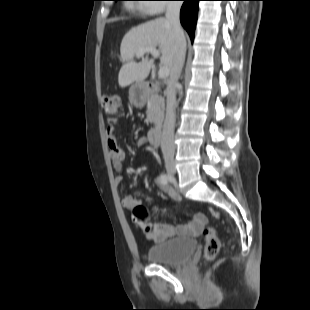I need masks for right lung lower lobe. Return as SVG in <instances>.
Listing matches in <instances>:
<instances>
[{
  "instance_id": "98d812e1",
  "label": "right lung lower lobe",
  "mask_w": 310,
  "mask_h": 310,
  "mask_svg": "<svg viewBox=\"0 0 310 310\" xmlns=\"http://www.w3.org/2000/svg\"><path fill=\"white\" fill-rule=\"evenodd\" d=\"M183 1L184 3L180 11V21L182 26L188 32L191 41L193 42L194 31L197 21L198 2L200 0H183Z\"/></svg>"
}]
</instances>
